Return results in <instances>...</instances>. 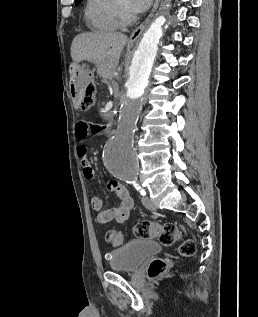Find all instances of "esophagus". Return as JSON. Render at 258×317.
<instances>
[{"label": "esophagus", "mask_w": 258, "mask_h": 317, "mask_svg": "<svg viewBox=\"0 0 258 317\" xmlns=\"http://www.w3.org/2000/svg\"><path fill=\"white\" fill-rule=\"evenodd\" d=\"M159 2H160V0H155L154 6H153L151 12L149 13L148 17L146 18V20H144L143 23H141V25H139V27H137L131 33L129 40H136L140 37V35L142 34L144 29L147 27L148 23L150 22L151 18L153 17L154 13L156 12Z\"/></svg>", "instance_id": "obj_1"}]
</instances>
